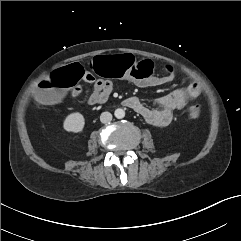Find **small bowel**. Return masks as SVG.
I'll use <instances>...</instances> for the list:
<instances>
[{"instance_id": "c3829d8e", "label": "small bowel", "mask_w": 241, "mask_h": 241, "mask_svg": "<svg viewBox=\"0 0 241 241\" xmlns=\"http://www.w3.org/2000/svg\"><path fill=\"white\" fill-rule=\"evenodd\" d=\"M82 79L87 83H92V92L87 98L86 103L89 106L102 105L107 102L114 84L108 79H96L95 76L88 71L79 80ZM172 80V75L162 77H150L138 81L141 87H154L169 83ZM82 93L80 85H75L70 94L72 97H79ZM201 93L200 85L196 82L189 84L184 88L176 89L167 95L155 99L156 108L146 106L137 96H130L124 100V105L134 110L146 122L153 126L164 127L169 125L173 120V112L182 110L189 101L196 100Z\"/></svg>"}]
</instances>
